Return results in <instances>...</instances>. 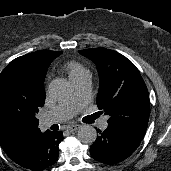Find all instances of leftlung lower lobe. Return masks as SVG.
<instances>
[{
	"mask_svg": "<svg viewBox=\"0 0 171 171\" xmlns=\"http://www.w3.org/2000/svg\"><path fill=\"white\" fill-rule=\"evenodd\" d=\"M142 139L130 132L108 125L105 131H100L96 141L90 147V153L92 158L99 162L117 164L129 157Z\"/></svg>",
	"mask_w": 171,
	"mask_h": 171,
	"instance_id": "1",
	"label": "left lung lower lobe"
}]
</instances>
